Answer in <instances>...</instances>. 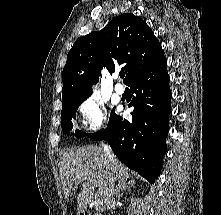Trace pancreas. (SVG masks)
Wrapping results in <instances>:
<instances>
[{"instance_id": "pancreas-1", "label": "pancreas", "mask_w": 221, "mask_h": 215, "mask_svg": "<svg viewBox=\"0 0 221 215\" xmlns=\"http://www.w3.org/2000/svg\"><path fill=\"white\" fill-rule=\"evenodd\" d=\"M94 215H99L98 213H94Z\"/></svg>"}]
</instances>
